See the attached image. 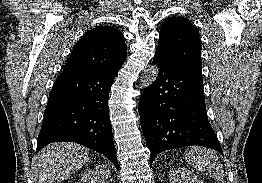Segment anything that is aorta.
Masks as SVG:
<instances>
[{
	"mask_svg": "<svg viewBox=\"0 0 262 183\" xmlns=\"http://www.w3.org/2000/svg\"><path fill=\"white\" fill-rule=\"evenodd\" d=\"M159 73L158 65H153L147 69L141 77L140 85L142 88L151 85L157 78Z\"/></svg>",
	"mask_w": 262,
	"mask_h": 183,
	"instance_id": "obj_1",
	"label": "aorta"
}]
</instances>
